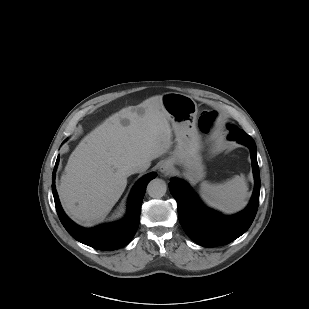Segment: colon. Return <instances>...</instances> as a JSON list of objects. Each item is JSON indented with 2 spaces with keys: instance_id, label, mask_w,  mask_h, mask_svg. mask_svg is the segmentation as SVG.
Wrapping results in <instances>:
<instances>
[{
  "instance_id": "obj_1",
  "label": "colon",
  "mask_w": 309,
  "mask_h": 309,
  "mask_svg": "<svg viewBox=\"0 0 309 309\" xmlns=\"http://www.w3.org/2000/svg\"><path fill=\"white\" fill-rule=\"evenodd\" d=\"M216 121V114L214 112H203L198 120L199 128L204 132H209L213 129Z\"/></svg>"
}]
</instances>
